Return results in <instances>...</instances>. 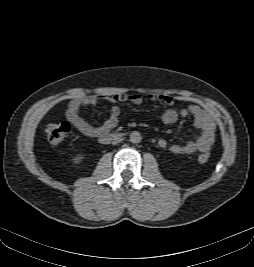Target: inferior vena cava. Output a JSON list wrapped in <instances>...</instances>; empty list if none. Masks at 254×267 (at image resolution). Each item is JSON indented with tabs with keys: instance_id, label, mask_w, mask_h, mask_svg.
<instances>
[{
	"instance_id": "obj_1",
	"label": "inferior vena cava",
	"mask_w": 254,
	"mask_h": 267,
	"mask_svg": "<svg viewBox=\"0 0 254 267\" xmlns=\"http://www.w3.org/2000/svg\"><path fill=\"white\" fill-rule=\"evenodd\" d=\"M120 141H121L120 138H116L113 140L112 144L115 145V144L119 143Z\"/></svg>"
}]
</instances>
